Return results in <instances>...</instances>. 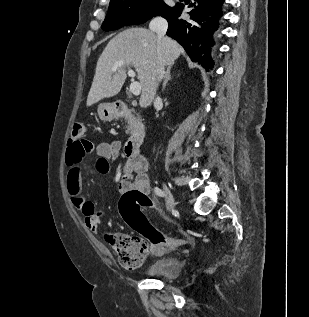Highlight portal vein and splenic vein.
I'll use <instances>...</instances> for the list:
<instances>
[{"mask_svg": "<svg viewBox=\"0 0 309 317\" xmlns=\"http://www.w3.org/2000/svg\"><path fill=\"white\" fill-rule=\"evenodd\" d=\"M124 64V61L120 60L118 61L117 63H115V65L113 66V71H116L118 67H120L121 65ZM128 75L130 77H135V72L129 68L128 70ZM130 91L133 95H139L140 92H141V85L139 82L137 81H133L131 84H130Z\"/></svg>", "mask_w": 309, "mask_h": 317, "instance_id": "1", "label": "portal vein and splenic vein"}]
</instances>
